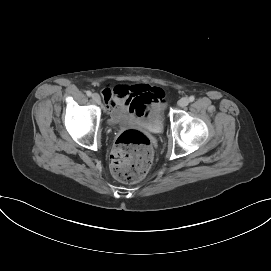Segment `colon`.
<instances>
[{
	"label": "colon",
	"mask_w": 271,
	"mask_h": 271,
	"mask_svg": "<svg viewBox=\"0 0 271 271\" xmlns=\"http://www.w3.org/2000/svg\"><path fill=\"white\" fill-rule=\"evenodd\" d=\"M152 161L153 150L148 136L129 129L116 140L110 156V169L116 179L134 183L145 177Z\"/></svg>",
	"instance_id": "5ec220e1"
}]
</instances>
